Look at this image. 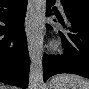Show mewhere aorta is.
Returning a JSON list of instances; mask_svg holds the SVG:
<instances>
[{
	"mask_svg": "<svg viewBox=\"0 0 89 89\" xmlns=\"http://www.w3.org/2000/svg\"><path fill=\"white\" fill-rule=\"evenodd\" d=\"M35 32L31 45V65L29 73V89H44L43 82V43L46 15V0H34Z\"/></svg>",
	"mask_w": 89,
	"mask_h": 89,
	"instance_id": "obj_1",
	"label": "aorta"
}]
</instances>
